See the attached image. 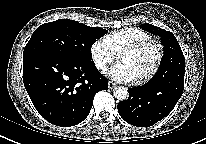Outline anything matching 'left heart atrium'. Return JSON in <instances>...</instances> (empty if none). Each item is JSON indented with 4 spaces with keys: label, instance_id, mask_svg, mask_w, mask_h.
<instances>
[{
    "label": "left heart atrium",
    "instance_id": "obj_1",
    "mask_svg": "<svg viewBox=\"0 0 206 144\" xmlns=\"http://www.w3.org/2000/svg\"><path fill=\"white\" fill-rule=\"evenodd\" d=\"M107 74L109 77L119 82H131L135 80V77L128 66L121 62L113 66Z\"/></svg>",
    "mask_w": 206,
    "mask_h": 144
}]
</instances>
